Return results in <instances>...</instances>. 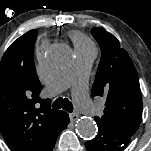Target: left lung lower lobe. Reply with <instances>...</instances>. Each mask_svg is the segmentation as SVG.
I'll list each match as a JSON object with an SVG mask.
<instances>
[{
	"label": "left lung lower lobe",
	"instance_id": "obj_1",
	"mask_svg": "<svg viewBox=\"0 0 151 151\" xmlns=\"http://www.w3.org/2000/svg\"><path fill=\"white\" fill-rule=\"evenodd\" d=\"M131 136L98 125V135L85 143L88 151H123Z\"/></svg>",
	"mask_w": 151,
	"mask_h": 151
}]
</instances>
